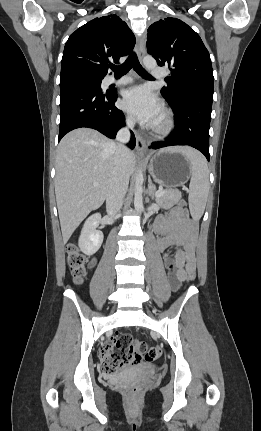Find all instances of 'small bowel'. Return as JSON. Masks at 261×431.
Wrapping results in <instances>:
<instances>
[{
	"label": "small bowel",
	"instance_id": "obj_1",
	"mask_svg": "<svg viewBox=\"0 0 261 431\" xmlns=\"http://www.w3.org/2000/svg\"><path fill=\"white\" fill-rule=\"evenodd\" d=\"M154 231L160 236L156 241V249L159 252L167 253L174 246H183V249H177L172 256L168 254L165 256L169 279L172 287L176 289L188 276L189 271H194L197 225L190 219L185 209L176 206L167 214L157 217ZM92 264H95V260ZM139 349L141 355H146L150 346L142 343Z\"/></svg>",
	"mask_w": 261,
	"mask_h": 431
}]
</instances>
